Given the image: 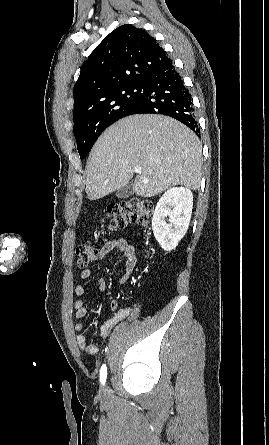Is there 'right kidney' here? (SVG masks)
<instances>
[{"instance_id":"1","label":"right kidney","mask_w":269,"mask_h":445,"mask_svg":"<svg viewBox=\"0 0 269 445\" xmlns=\"http://www.w3.org/2000/svg\"><path fill=\"white\" fill-rule=\"evenodd\" d=\"M192 207L193 194L184 187L170 188L159 199L152 218V230L165 251L173 250L186 234ZM167 216L170 223L165 221Z\"/></svg>"}]
</instances>
